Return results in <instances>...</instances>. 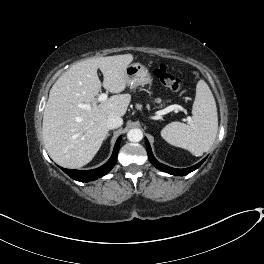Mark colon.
Instances as JSON below:
<instances>
[{
  "label": "colon",
  "mask_w": 264,
  "mask_h": 264,
  "mask_svg": "<svg viewBox=\"0 0 264 264\" xmlns=\"http://www.w3.org/2000/svg\"><path fill=\"white\" fill-rule=\"evenodd\" d=\"M160 82L173 91H178L181 88L180 80L170 73L164 64H161L155 72Z\"/></svg>",
  "instance_id": "5ec220e1"
}]
</instances>
